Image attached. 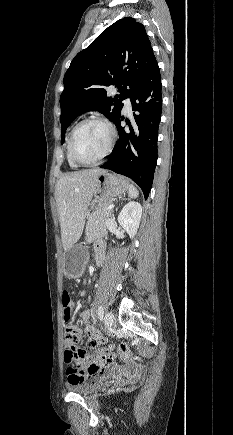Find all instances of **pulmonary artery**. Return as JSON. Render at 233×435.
Returning a JSON list of instances; mask_svg holds the SVG:
<instances>
[{"mask_svg":"<svg viewBox=\"0 0 233 435\" xmlns=\"http://www.w3.org/2000/svg\"><path fill=\"white\" fill-rule=\"evenodd\" d=\"M131 109V102H130V99H125V101H124V110L125 111H129Z\"/></svg>","mask_w":233,"mask_h":435,"instance_id":"pulmonary-artery-1","label":"pulmonary artery"}]
</instances>
